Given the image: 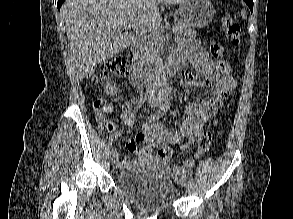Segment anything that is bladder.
<instances>
[{
	"label": "bladder",
	"mask_w": 293,
	"mask_h": 219,
	"mask_svg": "<svg viewBox=\"0 0 293 219\" xmlns=\"http://www.w3.org/2000/svg\"><path fill=\"white\" fill-rule=\"evenodd\" d=\"M115 184L126 197L141 207L161 209L172 205L178 198L179 189L161 172H149L140 166L120 170Z\"/></svg>",
	"instance_id": "bladder-1"
}]
</instances>
